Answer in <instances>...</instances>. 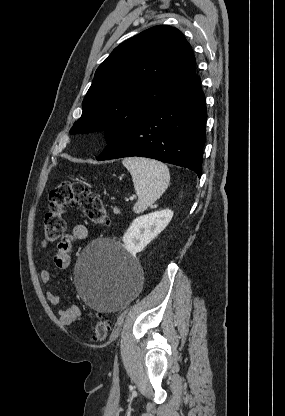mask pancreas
Returning <instances> with one entry per match:
<instances>
[{"mask_svg":"<svg viewBox=\"0 0 285 416\" xmlns=\"http://www.w3.org/2000/svg\"><path fill=\"white\" fill-rule=\"evenodd\" d=\"M114 212H116V214H120V210H118V208H114Z\"/></svg>","mask_w":285,"mask_h":416,"instance_id":"cf45deb5","label":"pancreas"}]
</instances>
